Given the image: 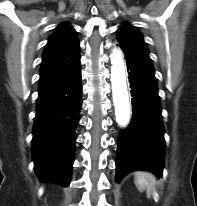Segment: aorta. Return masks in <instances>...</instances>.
<instances>
[{"label":"aorta","mask_w":197,"mask_h":206,"mask_svg":"<svg viewBox=\"0 0 197 206\" xmlns=\"http://www.w3.org/2000/svg\"><path fill=\"white\" fill-rule=\"evenodd\" d=\"M110 59L112 64L111 84L116 122L118 125L124 127L129 122L130 103L121 51L119 49H113Z\"/></svg>","instance_id":"762f6f07"}]
</instances>
